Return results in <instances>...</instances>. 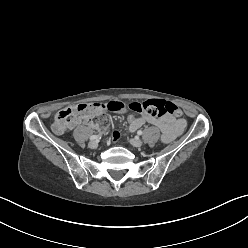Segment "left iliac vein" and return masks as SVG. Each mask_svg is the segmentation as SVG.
Returning a JSON list of instances; mask_svg holds the SVG:
<instances>
[{"label": "left iliac vein", "instance_id": "obj_1", "mask_svg": "<svg viewBox=\"0 0 248 248\" xmlns=\"http://www.w3.org/2000/svg\"><path fill=\"white\" fill-rule=\"evenodd\" d=\"M130 144L133 145L134 147H141L142 146V141L139 138H133L130 139Z\"/></svg>", "mask_w": 248, "mask_h": 248}]
</instances>
